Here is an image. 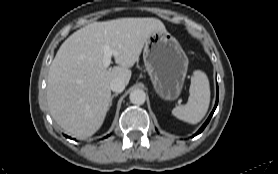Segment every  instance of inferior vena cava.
Masks as SVG:
<instances>
[{
    "instance_id": "inferior-vena-cava-1",
    "label": "inferior vena cava",
    "mask_w": 278,
    "mask_h": 174,
    "mask_svg": "<svg viewBox=\"0 0 278 174\" xmlns=\"http://www.w3.org/2000/svg\"><path fill=\"white\" fill-rule=\"evenodd\" d=\"M110 88H111L112 91L120 93V92H122L124 90L125 83H124L123 80H121L119 78H116V79H113L110 82Z\"/></svg>"
}]
</instances>
